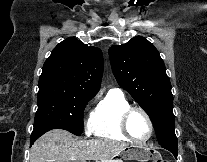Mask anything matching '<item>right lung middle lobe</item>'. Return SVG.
<instances>
[{"instance_id": "1", "label": "right lung middle lobe", "mask_w": 207, "mask_h": 162, "mask_svg": "<svg viewBox=\"0 0 207 162\" xmlns=\"http://www.w3.org/2000/svg\"><path fill=\"white\" fill-rule=\"evenodd\" d=\"M92 97L58 89H39L33 132L58 128L81 135L83 111Z\"/></svg>"}]
</instances>
